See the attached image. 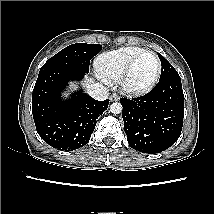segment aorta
<instances>
[{
    "label": "aorta",
    "mask_w": 214,
    "mask_h": 214,
    "mask_svg": "<svg viewBox=\"0 0 214 214\" xmlns=\"http://www.w3.org/2000/svg\"><path fill=\"white\" fill-rule=\"evenodd\" d=\"M122 104L119 103V102H114L110 105V111L113 113V114H119L122 112Z\"/></svg>",
    "instance_id": "1"
}]
</instances>
